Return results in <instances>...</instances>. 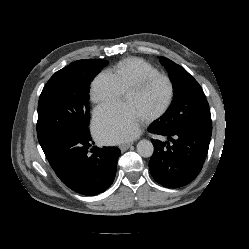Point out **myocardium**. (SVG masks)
Returning <instances> with one entry per match:
<instances>
[{
    "label": "myocardium",
    "mask_w": 249,
    "mask_h": 249,
    "mask_svg": "<svg viewBox=\"0 0 249 249\" xmlns=\"http://www.w3.org/2000/svg\"><path fill=\"white\" fill-rule=\"evenodd\" d=\"M157 80H164L167 83L168 88H169V95L164 106L160 110H158L156 113L146 117L144 119L145 122L155 121L161 118L162 116H164L169 111V109L171 108L173 104L174 97H175V87H174L173 81L170 79V77L164 74L149 75V76L142 78L138 82L134 83L133 85L128 87L125 91V93L140 92L144 90L147 86H149L151 83Z\"/></svg>",
    "instance_id": "obj_1"
}]
</instances>
